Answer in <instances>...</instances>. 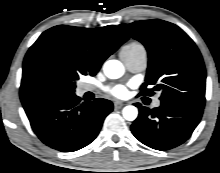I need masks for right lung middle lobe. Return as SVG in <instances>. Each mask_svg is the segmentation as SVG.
I'll return each instance as SVG.
<instances>
[{
	"label": "right lung middle lobe",
	"instance_id": "obj_1",
	"mask_svg": "<svg viewBox=\"0 0 220 173\" xmlns=\"http://www.w3.org/2000/svg\"><path fill=\"white\" fill-rule=\"evenodd\" d=\"M78 74H73L70 75L66 80H64L63 84L57 86L54 90H53V95L54 94H73L74 93V89H75V83L76 80L79 79Z\"/></svg>",
	"mask_w": 220,
	"mask_h": 173
}]
</instances>
